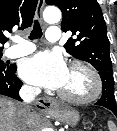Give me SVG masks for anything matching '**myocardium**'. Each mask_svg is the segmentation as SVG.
I'll return each instance as SVG.
<instances>
[{"instance_id":"obj_1","label":"myocardium","mask_w":117,"mask_h":131,"mask_svg":"<svg viewBox=\"0 0 117 131\" xmlns=\"http://www.w3.org/2000/svg\"><path fill=\"white\" fill-rule=\"evenodd\" d=\"M69 68H79L85 71L91 79V90L88 94L83 96H74L66 94L60 90L57 91V95L64 101L74 104H87L95 101L102 92V80L95 68L83 61H72L69 64Z\"/></svg>"}]
</instances>
